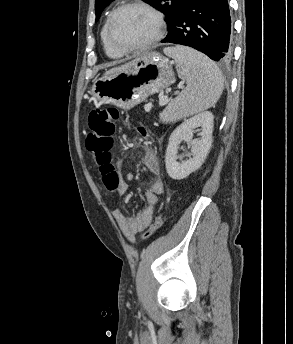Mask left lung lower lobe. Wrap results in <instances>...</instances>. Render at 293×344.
I'll list each match as a JSON object with an SVG mask.
<instances>
[{
  "instance_id": "obj_1",
  "label": "left lung lower lobe",
  "mask_w": 293,
  "mask_h": 344,
  "mask_svg": "<svg viewBox=\"0 0 293 344\" xmlns=\"http://www.w3.org/2000/svg\"><path fill=\"white\" fill-rule=\"evenodd\" d=\"M231 18L227 0H182L162 43L192 47L212 60L231 58Z\"/></svg>"
}]
</instances>
